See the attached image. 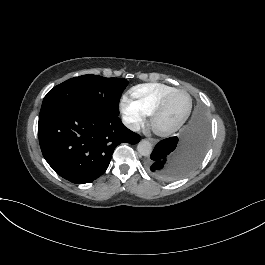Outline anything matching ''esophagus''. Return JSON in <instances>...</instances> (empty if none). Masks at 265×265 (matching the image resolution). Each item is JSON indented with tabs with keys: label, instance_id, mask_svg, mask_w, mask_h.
<instances>
[{
	"label": "esophagus",
	"instance_id": "esophagus-1",
	"mask_svg": "<svg viewBox=\"0 0 265 265\" xmlns=\"http://www.w3.org/2000/svg\"><path fill=\"white\" fill-rule=\"evenodd\" d=\"M150 141L152 142V144H156L157 143V140L153 139V138H151Z\"/></svg>",
	"mask_w": 265,
	"mask_h": 265
}]
</instances>
